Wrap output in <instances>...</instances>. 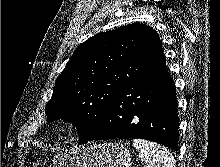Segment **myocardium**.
<instances>
[{"label": "myocardium", "mask_w": 220, "mask_h": 167, "mask_svg": "<svg viewBox=\"0 0 220 167\" xmlns=\"http://www.w3.org/2000/svg\"><path fill=\"white\" fill-rule=\"evenodd\" d=\"M72 127H73L72 123L66 122L61 126V131L63 133H69L72 130Z\"/></svg>", "instance_id": "obj_1"}]
</instances>
